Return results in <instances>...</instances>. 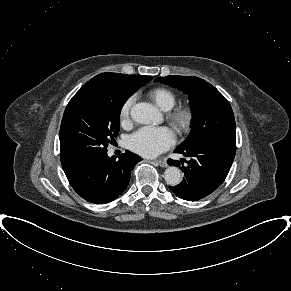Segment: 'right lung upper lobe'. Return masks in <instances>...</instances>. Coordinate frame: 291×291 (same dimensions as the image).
Wrapping results in <instances>:
<instances>
[{
	"mask_svg": "<svg viewBox=\"0 0 291 291\" xmlns=\"http://www.w3.org/2000/svg\"><path fill=\"white\" fill-rule=\"evenodd\" d=\"M151 79V76L145 75H126L107 72L101 73L89 80L83 87H81V89L76 94H79L92 86L98 85L117 87L130 94H133Z\"/></svg>",
	"mask_w": 291,
	"mask_h": 291,
	"instance_id": "right-lung-upper-lobe-1",
	"label": "right lung upper lobe"
}]
</instances>
